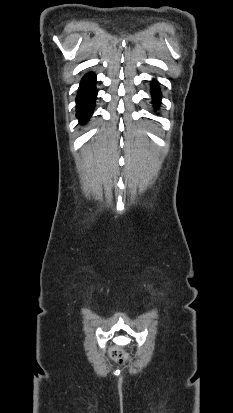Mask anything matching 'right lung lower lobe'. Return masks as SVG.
<instances>
[{
    "label": "right lung lower lobe",
    "mask_w": 233,
    "mask_h": 413,
    "mask_svg": "<svg viewBox=\"0 0 233 413\" xmlns=\"http://www.w3.org/2000/svg\"><path fill=\"white\" fill-rule=\"evenodd\" d=\"M95 84L94 73L86 74L81 80L76 97V115L81 124L86 123L93 113L97 95Z\"/></svg>",
    "instance_id": "98d812e1"
}]
</instances>
